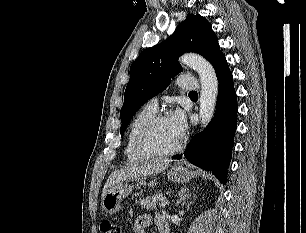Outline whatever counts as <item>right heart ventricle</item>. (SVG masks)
<instances>
[{
  "mask_svg": "<svg viewBox=\"0 0 306 233\" xmlns=\"http://www.w3.org/2000/svg\"><path fill=\"white\" fill-rule=\"evenodd\" d=\"M156 112V109L146 105L143 107L133 118L131 124L129 126L127 138H126V145H125V156L127 162L129 164H135L142 162L148 157L142 156L136 150L135 146V139L136 135L140 129V127Z\"/></svg>",
  "mask_w": 306,
  "mask_h": 233,
  "instance_id": "right-heart-ventricle-1",
  "label": "right heart ventricle"
}]
</instances>
